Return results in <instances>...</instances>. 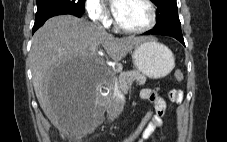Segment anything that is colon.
I'll return each instance as SVG.
<instances>
[{"instance_id":"5ec220e1","label":"colon","mask_w":227,"mask_h":142,"mask_svg":"<svg viewBox=\"0 0 227 142\" xmlns=\"http://www.w3.org/2000/svg\"><path fill=\"white\" fill-rule=\"evenodd\" d=\"M175 78L177 80H182L183 78V74L181 71H177L175 73ZM156 117V110H150L148 111L143 118L141 119V121L138 123V125L136 126V128L130 133L128 134L126 137H124L123 139H121L118 142H138V140L140 139V137L142 136V134L144 133V131L148 128V126L153 122V120Z\"/></svg>"}]
</instances>
